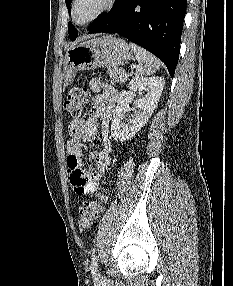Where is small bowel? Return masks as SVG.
<instances>
[{
	"instance_id": "small-bowel-1",
	"label": "small bowel",
	"mask_w": 233,
	"mask_h": 286,
	"mask_svg": "<svg viewBox=\"0 0 233 286\" xmlns=\"http://www.w3.org/2000/svg\"><path fill=\"white\" fill-rule=\"evenodd\" d=\"M89 87L95 97L88 117L74 118L68 126L70 137L66 151L69 182L79 196L89 195L98 189L111 163L112 140L109 121L118 97L117 91L99 78H93ZM99 129L102 148L86 156L84 147L95 140Z\"/></svg>"
}]
</instances>
